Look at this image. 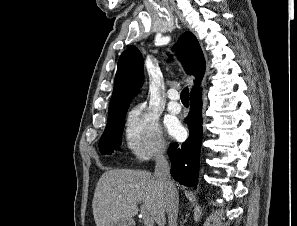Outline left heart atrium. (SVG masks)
<instances>
[{
    "instance_id": "obj_1",
    "label": "left heart atrium",
    "mask_w": 297,
    "mask_h": 226,
    "mask_svg": "<svg viewBox=\"0 0 297 226\" xmlns=\"http://www.w3.org/2000/svg\"><path fill=\"white\" fill-rule=\"evenodd\" d=\"M171 134L176 138H182L184 135V129L177 121H171L168 125Z\"/></svg>"
}]
</instances>
